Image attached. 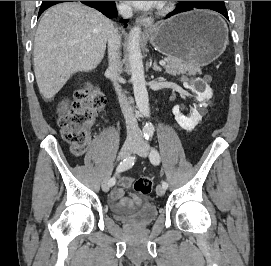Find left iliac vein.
Listing matches in <instances>:
<instances>
[{"mask_svg":"<svg viewBox=\"0 0 271 266\" xmlns=\"http://www.w3.org/2000/svg\"><path fill=\"white\" fill-rule=\"evenodd\" d=\"M134 153L145 158L148 156L149 148L146 144L140 143L137 145V148L134 150ZM156 193L159 196H163L165 194V188L161 185H158L156 187Z\"/></svg>","mask_w":271,"mask_h":266,"instance_id":"1","label":"left iliac vein"}]
</instances>
